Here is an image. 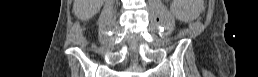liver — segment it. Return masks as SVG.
I'll list each match as a JSON object with an SVG mask.
<instances>
[{
    "label": "liver",
    "instance_id": "obj_1",
    "mask_svg": "<svg viewBox=\"0 0 258 77\" xmlns=\"http://www.w3.org/2000/svg\"><path fill=\"white\" fill-rule=\"evenodd\" d=\"M89 0H74L73 9L78 17L83 19L88 18L89 14Z\"/></svg>",
    "mask_w": 258,
    "mask_h": 77
}]
</instances>
